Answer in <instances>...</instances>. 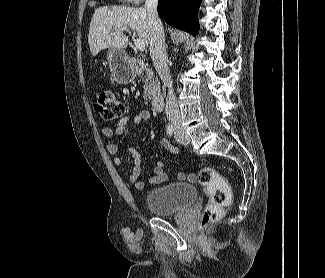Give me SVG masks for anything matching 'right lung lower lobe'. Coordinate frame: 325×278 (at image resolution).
<instances>
[{
	"label": "right lung lower lobe",
	"instance_id": "right-lung-lower-lobe-1",
	"mask_svg": "<svg viewBox=\"0 0 325 278\" xmlns=\"http://www.w3.org/2000/svg\"><path fill=\"white\" fill-rule=\"evenodd\" d=\"M201 0H159L158 14L172 27L196 35L199 32L198 9Z\"/></svg>",
	"mask_w": 325,
	"mask_h": 278
}]
</instances>
